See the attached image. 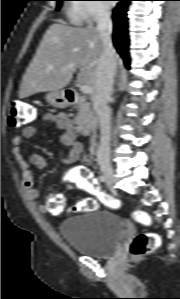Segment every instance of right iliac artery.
<instances>
[{"instance_id":"82829eb1","label":"right iliac artery","mask_w":180,"mask_h":299,"mask_svg":"<svg viewBox=\"0 0 180 299\" xmlns=\"http://www.w3.org/2000/svg\"><path fill=\"white\" fill-rule=\"evenodd\" d=\"M99 180L101 181V182H105V177L103 176V175H101V176H99Z\"/></svg>"}]
</instances>
